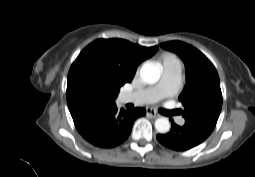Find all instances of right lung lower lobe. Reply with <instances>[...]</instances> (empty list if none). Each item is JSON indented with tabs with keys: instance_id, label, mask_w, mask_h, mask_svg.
I'll return each instance as SVG.
<instances>
[{
	"instance_id": "1",
	"label": "right lung lower lobe",
	"mask_w": 255,
	"mask_h": 177,
	"mask_svg": "<svg viewBox=\"0 0 255 177\" xmlns=\"http://www.w3.org/2000/svg\"><path fill=\"white\" fill-rule=\"evenodd\" d=\"M145 114L144 108L118 110L116 104L111 103L85 107L71 116L85 140L97 147L112 148L129 137L134 121Z\"/></svg>"
}]
</instances>
